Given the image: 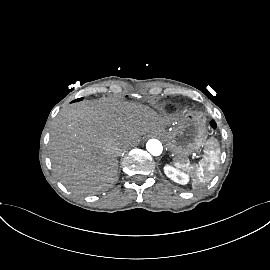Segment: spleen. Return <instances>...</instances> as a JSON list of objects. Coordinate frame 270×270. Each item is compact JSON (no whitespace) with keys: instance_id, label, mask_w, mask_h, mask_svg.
<instances>
[{"instance_id":"spleen-1","label":"spleen","mask_w":270,"mask_h":270,"mask_svg":"<svg viewBox=\"0 0 270 270\" xmlns=\"http://www.w3.org/2000/svg\"><path fill=\"white\" fill-rule=\"evenodd\" d=\"M205 150L207 155L199 165L190 166L188 162H177L175 163V166L181 169L183 172L194 174L200 182L211 180L212 173L219 164L220 148L218 142L215 139H210L206 142Z\"/></svg>"}]
</instances>
